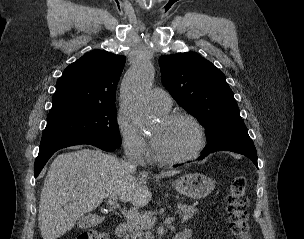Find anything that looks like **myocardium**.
<instances>
[{"instance_id": "obj_1", "label": "myocardium", "mask_w": 304, "mask_h": 239, "mask_svg": "<svg viewBox=\"0 0 304 239\" xmlns=\"http://www.w3.org/2000/svg\"><path fill=\"white\" fill-rule=\"evenodd\" d=\"M165 122H173L176 120H186L190 122L197 131V143L194 149L181 157H165L157 153L155 146L153 148V157L154 159L162 164L166 165H177L187 163L196 159L201 152L204 150L207 143L206 130L203 124L192 114L187 112H172L163 115L162 118Z\"/></svg>"}]
</instances>
